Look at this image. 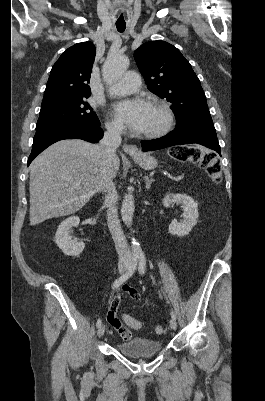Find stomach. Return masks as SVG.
Instances as JSON below:
<instances>
[{
  "label": "stomach",
  "instance_id": "1",
  "mask_svg": "<svg viewBox=\"0 0 265 401\" xmlns=\"http://www.w3.org/2000/svg\"><path fill=\"white\" fill-rule=\"evenodd\" d=\"M132 158H134L135 162H138L142 168L145 170H153V168H157L158 160L155 156H150L148 152H142V154H131Z\"/></svg>",
  "mask_w": 265,
  "mask_h": 401
}]
</instances>
